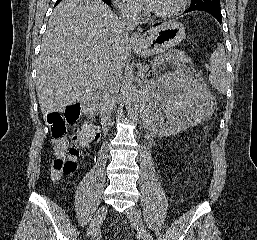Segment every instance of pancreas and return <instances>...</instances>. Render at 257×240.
I'll use <instances>...</instances> for the list:
<instances>
[{"instance_id":"1","label":"pancreas","mask_w":257,"mask_h":240,"mask_svg":"<svg viewBox=\"0 0 257 240\" xmlns=\"http://www.w3.org/2000/svg\"><path fill=\"white\" fill-rule=\"evenodd\" d=\"M167 63H171L173 65H178L180 63L192 64V60L185 55L184 51L173 50L163 55L155 57L154 60L151 62L150 67L152 70H156L159 66L165 65ZM141 75L143 76L142 73ZM143 78H145V76H143Z\"/></svg>"}]
</instances>
